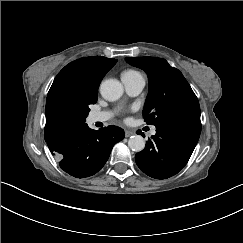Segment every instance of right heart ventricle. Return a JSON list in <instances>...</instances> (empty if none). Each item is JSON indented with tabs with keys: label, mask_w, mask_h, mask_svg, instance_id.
<instances>
[{
	"label": "right heart ventricle",
	"mask_w": 243,
	"mask_h": 243,
	"mask_svg": "<svg viewBox=\"0 0 243 243\" xmlns=\"http://www.w3.org/2000/svg\"><path fill=\"white\" fill-rule=\"evenodd\" d=\"M143 76L142 74L134 69H128L121 73V79L123 83H131L136 82L137 80L141 79Z\"/></svg>",
	"instance_id": "e07e8e85"
}]
</instances>
